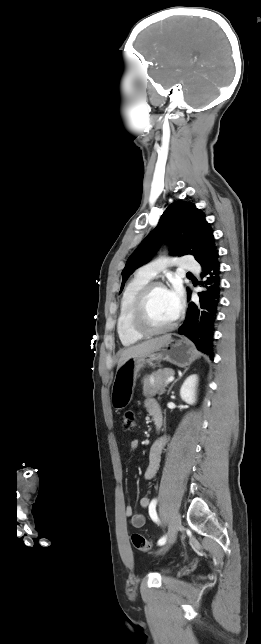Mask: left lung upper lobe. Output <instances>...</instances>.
Instances as JSON below:
<instances>
[{"instance_id": "1", "label": "left lung upper lobe", "mask_w": 261, "mask_h": 644, "mask_svg": "<svg viewBox=\"0 0 261 644\" xmlns=\"http://www.w3.org/2000/svg\"><path fill=\"white\" fill-rule=\"evenodd\" d=\"M171 236L173 255L191 254L202 265L218 250L215 246L213 231L205 220L204 213L191 202L176 201L162 214L158 226L140 243L128 258L122 271V285L131 273L156 251L163 240Z\"/></svg>"}]
</instances>
